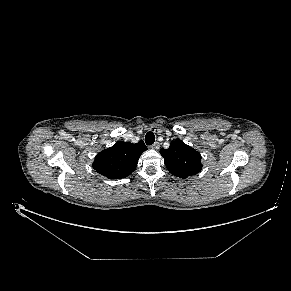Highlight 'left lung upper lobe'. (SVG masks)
I'll list each match as a JSON object with an SVG mask.
<instances>
[{"instance_id": "obj_1", "label": "left lung upper lobe", "mask_w": 291, "mask_h": 291, "mask_svg": "<svg viewBox=\"0 0 291 291\" xmlns=\"http://www.w3.org/2000/svg\"><path fill=\"white\" fill-rule=\"evenodd\" d=\"M160 154L170 173L179 178L196 175L202 169L199 152L179 139L171 142L168 149L161 148Z\"/></svg>"}]
</instances>
